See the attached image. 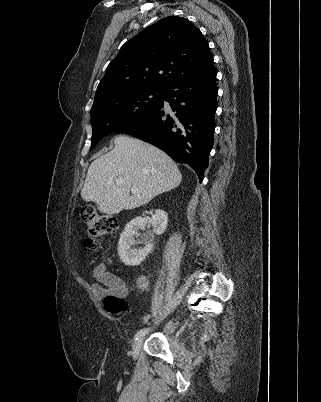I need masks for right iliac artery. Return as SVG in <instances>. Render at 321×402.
Here are the masks:
<instances>
[{
    "label": "right iliac artery",
    "mask_w": 321,
    "mask_h": 402,
    "mask_svg": "<svg viewBox=\"0 0 321 402\" xmlns=\"http://www.w3.org/2000/svg\"><path fill=\"white\" fill-rule=\"evenodd\" d=\"M148 331H149V328L141 329L140 331H138L136 333L135 338L137 339V338H139L141 336H144Z\"/></svg>",
    "instance_id": "obj_1"
}]
</instances>
